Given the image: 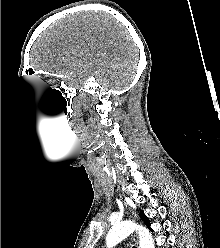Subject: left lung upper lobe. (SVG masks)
I'll return each mask as SVG.
<instances>
[{
  "mask_svg": "<svg viewBox=\"0 0 220 248\" xmlns=\"http://www.w3.org/2000/svg\"><path fill=\"white\" fill-rule=\"evenodd\" d=\"M140 217H141V219L144 221L145 225H146L148 228H150V221H149L148 217L145 216V214H144L143 211H141Z\"/></svg>",
  "mask_w": 220,
  "mask_h": 248,
  "instance_id": "5c2ea615",
  "label": "left lung upper lobe"
}]
</instances>
